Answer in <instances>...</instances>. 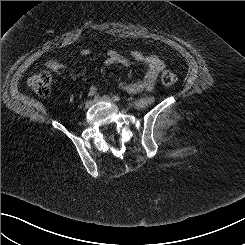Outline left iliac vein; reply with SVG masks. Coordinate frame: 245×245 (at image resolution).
Segmentation results:
<instances>
[{
  "label": "left iliac vein",
  "mask_w": 245,
  "mask_h": 245,
  "mask_svg": "<svg viewBox=\"0 0 245 245\" xmlns=\"http://www.w3.org/2000/svg\"><path fill=\"white\" fill-rule=\"evenodd\" d=\"M97 101L114 103V100L107 95L101 96L97 99Z\"/></svg>",
  "instance_id": "left-iliac-vein-1"
}]
</instances>
